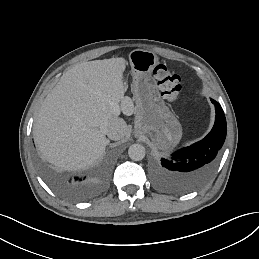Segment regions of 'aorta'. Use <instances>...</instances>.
<instances>
[{
    "label": "aorta",
    "mask_w": 259,
    "mask_h": 259,
    "mask_svg": "<svg viewBox=\"0 0 259 259\" xmlns=\"http://www.w3.org/2000/svg\"><path fill=\"white\" fill-rule=\"evenodd\" d=\"M128 155L133 161H140L145 157V148L141 144H132L128 149Z\"/></svg>",
    "instance_id": "762f6f07"
}]
</instances>
